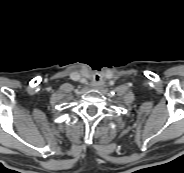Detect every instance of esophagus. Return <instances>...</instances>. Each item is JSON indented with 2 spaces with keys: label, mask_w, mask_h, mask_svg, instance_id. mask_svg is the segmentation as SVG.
<instances>
[{
  "label": "esophagus",
  "mask_w": 184,
  "mask_h": 173,
  "mask_svg": "<svg viewBox=\"0 0 184 173\" xmlns=\"http://www.w3.org/2000/svg\"><path fill=\"white\" fill-rule=\"evenodd\" d=\"M93 86H94V88H97V87H98V85H97V84H94Z\"/></svg>",
  "instance_id": "1"
}]
</instances>
